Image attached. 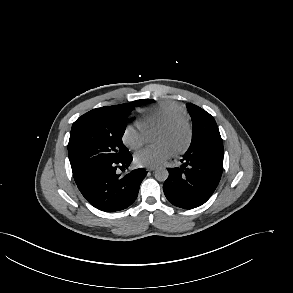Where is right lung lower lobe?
<instances>
[{"instance_id":"1","label":"right lung lower lobe","mask_w":293,"mask_h":293,"mask_svg":"<svg viewBox=\"0 0 293 293\" xmlns=\"http://www.w3.org/2000/svg\"><path fill=\"white\" fill-rule=\"evenodd\" d=\"M132 155L99 165L75 180L86 200L99 210L115 212L129 207L137 198L139 187L147 172L143 168L132 170L121 177L117 167L128 168Z\"/></svg>"}]
</instances>
